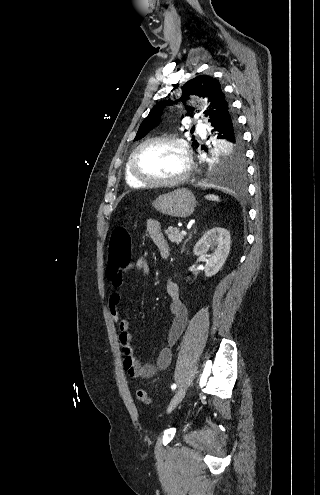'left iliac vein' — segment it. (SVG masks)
<instances>
[{
  "mask_svg": "<svg viewBox=\"0 0 320 495\" xmlns=\"http://www.w3.org/2000/svg\"><path fill=\"white\" fill-rule=\"evenodd\" d=\"M185 394H186V388L185 387L177 390V392L175 393V395L171 399L170 404L167 408L168 413L171 412L182 401Z\"/></svg>",
  "mask_w": 320,
  "mask_h": 495,
  "instance_id": "left-iliac-vein-1",
  "label": "left iliac vein"
}]
</instances>
